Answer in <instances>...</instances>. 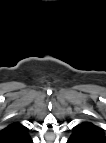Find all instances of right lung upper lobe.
I'll return each mask as SVG.
<instances>
[{
    "label": "right lung upper lobe",
    "instance_id": "obj_1",
    "mask_svg": "<svg viewBox=\"0 0 106 143\" xmlns=\"http://www.w3.org/2000/svg\"><path fill=\"white\" fill-rule=\"evenodd\" d=\"M29 138L27 128L19 123H12L0 130V143H26Z\"/></svg>",
    "mask_w": 106,
    "mask_h": 143
}]
</instances>
